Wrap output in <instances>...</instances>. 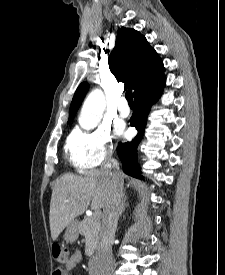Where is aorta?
<instances>
[{"label": "aorta", "mask_w": 225, "mask_h": 275, "mask_svg": "<svg viewBox=\"0 0 225 275\" xmlns=\"http://www.w3.org/2000/svg\"><path fill=\"white\" fill-rule=\"evenodd\" d=\"M105 109V96L100 89L93 90L86 98L81 114L79 124L85 130L95 128L102 118Z\"/></svg>", "instance_id": "1"}]
</instances>
